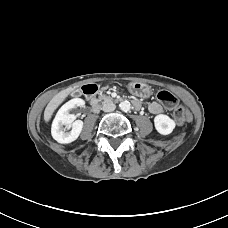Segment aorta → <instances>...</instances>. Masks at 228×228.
I'll list each match as a JSON object with an SVG mask.
<instances>
[{"label": "aorta", "instance_id": "1", "mask_svg": "<svg viewBox=\"0 0 228 228\" xmlns=\"http://www.w3.org/2000/svg\"><path fill=\"white\" fill-rule=\"evenodd\" d=\"M119 107L122 111L128 112L131 108V104L128 101H123L119 104Z\"/></svg>", "mask_w": 228, "mask_h": 228}]
</instances>
